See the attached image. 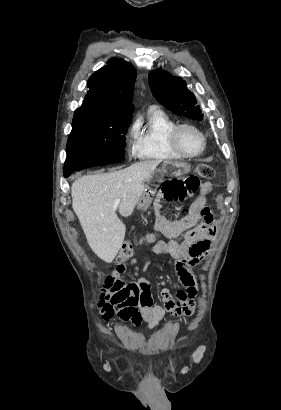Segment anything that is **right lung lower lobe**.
<instances>
[{
  "mask_svg": "<svg viewBox=\"0 0 281 410\" xmlns=\"http://www.w3.org/2000/svg\"><path fill=\"white\" fill-rule=\"evenodd\" d=\"M69 175H70V173H68V172L64 173V177H68Z\"/></svg>",
  "mask_w": 281,
  "mask_h": 410,
  "instance_id": "obj_1",
  "label": "right lung lower lobe"
}]
</instances>
